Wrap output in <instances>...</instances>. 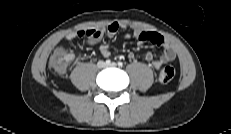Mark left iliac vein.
Here are the masks:
<instances>
[{
    "label": "left iliac vein",
    "mask_w": 231,
    "mask_h": 134,
    "mask_svg": "<svg viewBox=\"0 0 231 134\" xmlns=\"http://www.w3.org/2000/svg\"><path fill=\"white\" fill-rule=\"evenodd\" d=\"M117 64L116 63H111L109 66L110 67H115Z\"/></svg>",
    "instance_id": "1"
}]
</instances>
